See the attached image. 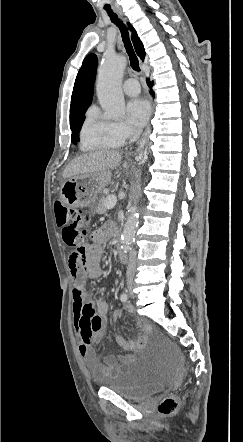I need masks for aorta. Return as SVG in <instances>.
I'll use <instances>...</instances> for the list:
<instances>
[{
  "label": "aorta",
  "mask_w": 243,
  "mask_h": 442,
  "mask_svg": "<svg viewBox=\"0 0 243 442\" xmlns=\"http://www.w3.org/2000/svg\"><path fill=\"white\" fill-rule=\"evenodd\" d=\"M126 60L120 55H106L98 71L97 94L102 108L111 119H118L125 113V101L121 90V80ZM139 211L136 206L130 209L121 235L125 251L135 240Z\"/></svg>",
  "instance_id": "1"
}]
</instances>
